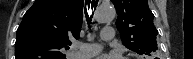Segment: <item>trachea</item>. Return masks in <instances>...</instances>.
Wrapping results in <instances>:
<instances>
[{
    "label": "trachea",
    "instance_id": "trachea-1",
    "mask_svg": "<svg viewBox=\"0 0 193 59\" xmlns=\"http://www.w3.org/2000/svg\"><path fill=\"white\" fill-rule=\"evenodd\" d=\"M87 5H88V10H90V3L88 2ZM96 6H97V5H95V8H96ZM92 9H93V5H91V10H92ZM92 14H93V13H92ZM85 15H86L87 21H90V18H91L92 16H90V18H89V14H88L86 8H85Z\"/></svg>",
    "mask_w": 193,
    "mask_h": 59
}]
</instances>
